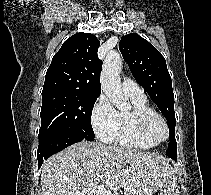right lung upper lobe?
I'll return each mask as SVG.
<instances>
[{
    "label": "right lung upper lobe",
    "mask_w": 211,
    "mask_h": 195,
    "mask_svg": "<svg viewBox=\"0 0 211 195\" xmlns=\"http://www.w3.org/2000/svg\"><path fill=\"white\" fill-rule=\"evenodd\" d=\"M100 42L90 33H76L54 55L46 72L42 93L65 91L99 96L102 61Z\"/></svg>",
    "instance_id": "1"
}]
</instances>
